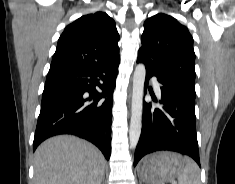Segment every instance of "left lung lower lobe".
Returning a JSON list of instances; mask_svg holds the SVG:
<instances>
[{"instance_id":"left-lung-lower-lobe-1","label":"left lung lower lobe","mask_w":235,"mask_h":184,"mask_svg":"<svg viewBox=\"0 0 235 184\" xmlns=\"http://www.w3.org/2000/svg\"><path fill=\"white\" fill-rule=\"evenodd\" d=\"M137 62L146 66V87L152 76H156L162 84V107L152 113L151 103H143V123L134 166L144 155L161 150L188 155L201 166L196 135L195 98L151 69L143 58H138Z\"/></svg>"}]
</instances>
